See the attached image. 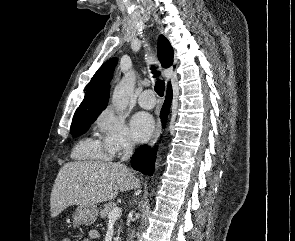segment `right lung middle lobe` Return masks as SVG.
Returning <instances> with one entry per match:
<instances>
[{
    "label": "right lung middle lobe",
    "instance_id": "right-lung-middle-lobe-1",
    "mask_svg": "<svg viewBox=\"0 0 295 241\" xmlns=\"http://www.w3.org/2000/svg\"><path fill=\"white\" fill-rule=\"evenodd\" d=\"M103 109H105V107L91 111L75 112L71 125V134L74 137H77L85 133L88 130L90 124H92L97 119Z\"/></svg>",
    "mask_w": 295,
    "mask_h": 241
}]
</instances>
